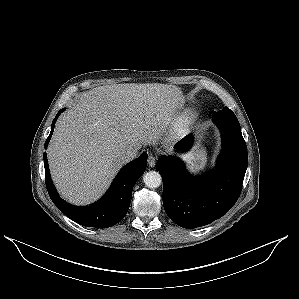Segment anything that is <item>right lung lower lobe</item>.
I'll return each mask as SVG.
<instances>
[{"mask_svg":"<svg viewBox=\"0 0 299 299\" xmlns=\"http://www.w3.org/2000/svg\"><path fill=\"white\" fill-rule=\"evenodd\" d=\"M64 110L61 109L54 118L51 132L45 142V148H47L54 131L55 122ZM43 159L46 188L53 203L62 213L78 224L99 229L117 224L126 215L130 206L133 187L146 169L147 154L143 153L139 158L123 167L106 194L97 203L88 207L73 206L59 197L50 177L46 153L43 154Z\"/></svg>","mask_w":299,"mask_h":299,"instance_id":"right-lung-lower-lobe-1","label":"right lung lower lobe"}]
</instances>
